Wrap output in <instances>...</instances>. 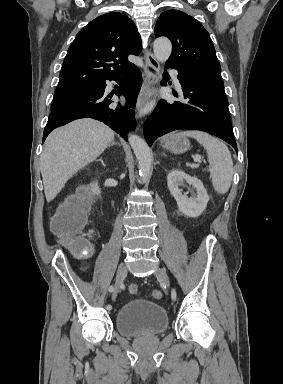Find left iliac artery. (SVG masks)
<instances>
[{
    "label": "left iliac artery",
    "instance_id": "44dca946",
    "mask_svg": "<svg viewBox=\"0 0 283 384\" xmlns=\"http://www.w3.org/2000/svg\"><path fill=\"white\" fill-rule=\"evenodd\" d=\"M176 296H177V295H176V291H175V289H173V290H172V299H173V300H176Z\"/></svg>",
    "mask_w": 283,
    "mask_h": 384
}]
</instances>
